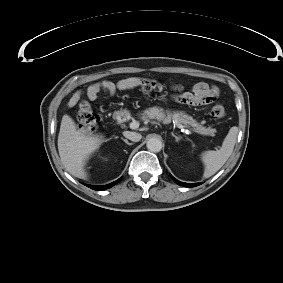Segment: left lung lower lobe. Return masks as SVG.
Wrapping results in <instances>:
<instances>
[{
  "mask_svg": "<svg viewBox=\"0 0 283 283\" xmlns=\"http://www.w3.org/2000/svg\"><path fill=\"white\" fill-rule=\"evenodd\" d=\"M171 177L178 185L185 186V187H195L201 184V183H184V182L178 181L173 176Z\"/></svg>",
  "mask_w": 283,
  "mask_h": 283,
  "instance_id": "obj_1",
  "label": "left lung lower lobe"
}]
</instances>
